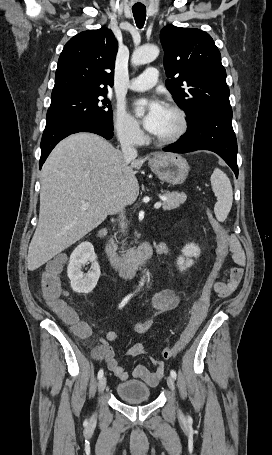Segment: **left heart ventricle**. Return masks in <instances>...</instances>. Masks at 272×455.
<instances>
[{"mask_svg":"<svg viewBox=\"0 0 272 455\" xmlns=\"http://www.w3.org/2000/svg\"><path fill=\"white\" fill-rule=\"evenodd\" d=\"M178 127V120L176 115L168 108H165L160 126L154 133L155 136L165 137L175 132Z\"/></svg>","mask_w":272,"mask_h":455,"instance_id":"b2bd125f","label":"left heart ventricle"}]
</instances>
